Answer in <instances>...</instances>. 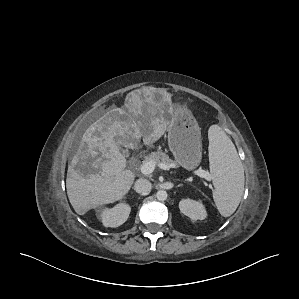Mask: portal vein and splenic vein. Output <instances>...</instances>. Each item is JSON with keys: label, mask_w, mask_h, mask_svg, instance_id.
I'll use <instances>...</instances> for the list:
<instances>
[{"label": "portal vein and splenic vein", "mask_w": 299, "mask_h": 299, "mask_svg": "<svg viewBox=\"0 0 299 299\" xmlns=\"http://www.w3.org/2000/svg\"><path fill=\"white\" fill-rule=\"evenodd\" d=\"M161 169L169 170L170 166L160 163L158 165ZM155 169V165L152 162H147L140 167V170L143 174H151ZM195 175L205 178L206 180H211V176L208 172L204 170H197L194 172Z\"/></svg>", "instance_id": "1"}]
</instances>
